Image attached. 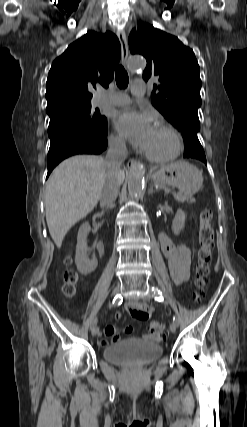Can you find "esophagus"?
Instances as JSON below:
<instances>
[{"label":"esophagus","mask_w":247,"mask_h":427,"mask_svg":"<svg viewBox=\"0 0 247 427\" xmlns=\"http://www.w3.org/2000/svg\"><path fill=\"white\" fill-rule=\"evenodd\" d=\"M117 37L121 43V51H122V64L124 66H127V59H128V45H127V37L123 30H119L117 32ZM137 165V161L135 159H129L127 161V167L131 168Z\"/></svg>","instance_id":"esophagus-1"}]
</instances>
